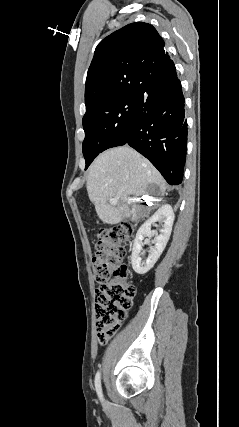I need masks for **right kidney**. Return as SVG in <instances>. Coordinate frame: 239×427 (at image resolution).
<instances>
[{"instance_id": "1", "label": "right kidney", "mask_w": 239, "mask_h": 427, "mask_svg": "<svg viewBox=\"0 0 239 427\" xmlns=\"http://www.w3.org/2000/svg\"><path fill=\"white\" fill-rule=\"evenodd\" d=\"M174 218L175 216L172 207L166 204L160 207L154 215L139 228L134 240L131 255L132 267L136 273L141 275L147 273L157 262L170 238ZM156 222H159L162 225L161 233L154 237L155 245L151 248L148 258L145 261H142L140 257L142 246L144 243H147L146 240L145 242H143V240L145 237L150 238L154 236L151 231V225Z\"/></svg>"}]
</instances>
